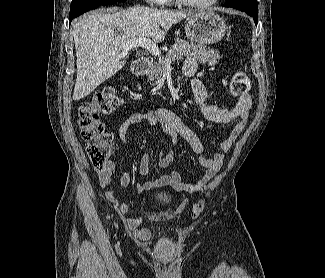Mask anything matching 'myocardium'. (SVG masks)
<instances>
[{"mask_svg":"<svg viewBox=\"0 0 325 278\" xmlns=\"http://www.w3.org/2000/svg\"><path fill=\"white\" fill-rule=\"evenodd\" d=\"M179 4L186 6V7H191L195 9H206L211 6H213L215 3H217L218 0H208L206 2H194L191 0H176Z\"/></svg>","mask_w":325,"mask_h":278,"instance_id":"1","label":"myocardium"}]
</instances>
